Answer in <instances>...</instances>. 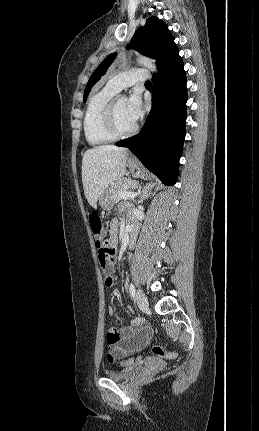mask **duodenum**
Here are the masks:
<instances>
[{"label":"duodenum","instance_id":"410a0bca","mask_svg":"<svg viewBox=\"0 0 259 431\" xmlns=\"http://www.w3.org/2000/svg\"><path fill=\"white\" fill-rule=\"evenodd\" d=\"M126 231H127V233H126L127 247L131 248V247H133L135 240H136V236H137L136 224L134 222H130L129 225L127 226Z\"/></svg>","mask_w":259,"mask_h":431}]
</instances>
